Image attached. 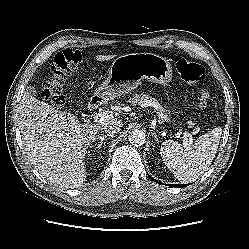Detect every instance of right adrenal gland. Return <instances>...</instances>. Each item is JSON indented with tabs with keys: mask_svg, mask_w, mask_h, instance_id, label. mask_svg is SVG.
<instances>
[{
	"mask_svg": "<svg viewBox=\"0 0 249 249\" xmlns=\"http://www.w3.org/2000/svg\"><path fill=\"white\" fill-rule=\"evenodd\" d=\"M110 136H111V135H108V134L101 135V136H97L96 139H99L100 142H99V144H96V143H95V145H97V146H96V149H99V148L102 146V144L104 143V140H105L107 137H110Z\"/></svg>",
	"mask_w": 249,
	"mask_h": 249,
	"instance_id": "right-adrenal-gland-1",
	"label": "right adrenal gland"
}]
</instances>
